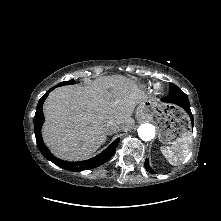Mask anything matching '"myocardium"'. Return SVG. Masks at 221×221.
I'll list each match as a JSON object with an SVG mask.
<instances>
[{
	"label": "myocardium",
	"mask_w": 221,
	"mask_h": 221,
	"mask_svg": "<svg viewBox=\"0 0 221 221\" xmlns=\"http://www.w3.org/2000/svg\"><path fill=\"white\" fill-rule=\"evenodd\" d=\"M161 90H162V87L160 84L154 85V92L159 93V92H161Z\"/></svg>",
	"instance_id": "myocardium-1"
}]
</instances>
